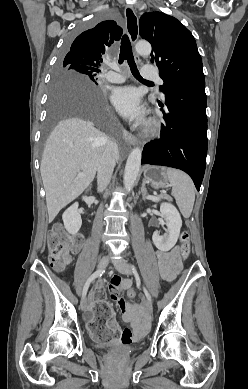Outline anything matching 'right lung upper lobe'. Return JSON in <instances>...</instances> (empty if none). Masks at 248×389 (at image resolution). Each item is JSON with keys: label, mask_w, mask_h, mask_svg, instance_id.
<instances>
[{"label": "right lung upper lobe", "mask_w": 248, "mask_h": 389, "mask_svg": "<svg viewBox=\"0 0 248 389\" xmlns=\"http://www.w3.org/2000/svg\"><path fill=\"white\" fill-rule=\"evenodd\" d=\"M121 35L122 28L115 21H103L74 40L63 63L100 71L106 49L118 41Z\"/></svg>", "instance_id": "obj_1"}]
</instances>
